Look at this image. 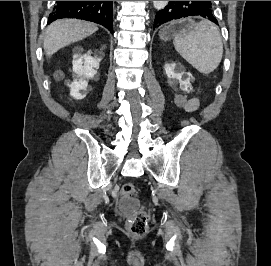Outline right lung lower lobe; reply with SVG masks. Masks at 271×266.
Returning <instances> with one entry per match:
<instances>
[{"mask_svg": "<svg viewBox=\"0 0 271 266\" xmlns=\"http://www.w3.org/2000/svg\"><path fill=\"white\" fill-rule=\"evenodd\" d=\"M113 1H56L48 23L60 18H77L92 21L113 32Z\"/></svg>", "mask_w": 271, "mask_h": 266, "instance_id": "right-lung-lower-lobe-1", "label": "right lung lower lobe"}]
</instances>
